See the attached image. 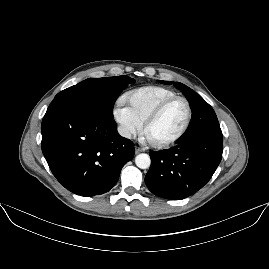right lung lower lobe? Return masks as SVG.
<instances>
[{
	"mask_svg": "<svg viewBox=\"0 0 269 269\" xmlns=\"http://www.w3.org/2000/svg\"><path fill=\"white\" fill-rule=\"evenodd\" d=\"M41 132L42 152L53 175L77 195L108 192L134 156L133 142L118 134L113 117L87 106L51 103Z\"/></svg>",
	"mask_w": 269,
	"mask_h": 269,
	"instance_id": "obj_1",
	"label": "right lung lower lobe"
}]
</instances>
